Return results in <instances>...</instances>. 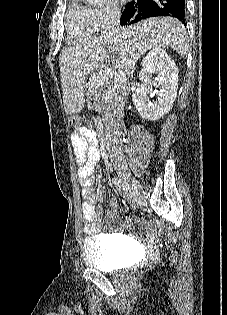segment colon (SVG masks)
Returning a JSON list of instances; mask_svg holds the SVG:
<instances>
[{
  "instance_id": "1",
  "label": "colon",
  "mask_w": 227,
  "mask_h": 315,
  "mask_svg": "<svg viewBox=\"0 0 227 315\" xmlns=\"http://www.w3.org/2000/svg\"><path fill=\"white\" fill-rule=\"evenodd\" d=\"M69 123L72 127L76 128L77 130L85 128L83 126L82 119L80 116H72L69 120Z\"/></svg>"
}]
</instances>
